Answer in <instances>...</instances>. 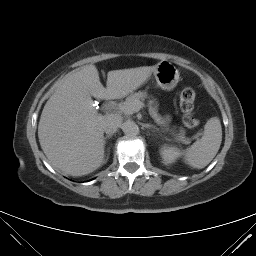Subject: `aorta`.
<instances>
[{
    "mask_svg": "<svg viewBox=\"0 0 256 256\" xmlns=\"http://www.w3.org/2000/svg\"><path fill=\"white\" fill-rule=\"evenodd\" d=\"M121 129L127 136H135L139 133L138 125L131 120L122 123Z\"/></svg>",
    "mask_w": 256,
    "mask_h": 256,
    "instance_id": "obj_1",
    "label": "aorta"
}]
</instances>
